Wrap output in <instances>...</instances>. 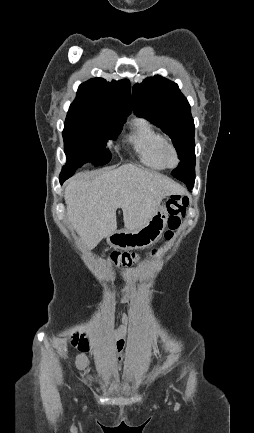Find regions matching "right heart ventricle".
Segmentation results:
<instances>
[{
	"label": "right heart ventricle",
	"mask_w": 254,
	"mask_h": 433,
	"mask_svg": "<svg viewBox=\"0 0 254 433\" xmlns=\"http://www.w3.org/2000/svg\"><path fill=\"white\" fill-rule=\"evenodd\" d=\"M164 140L163 135L148 121L141 118L134 120L129 143L143 165L154 170L166 168L159 155L160 145Z\"/></svg>",
	"instance_id": "right-heart-ventricle-1"
}]
</instances>
